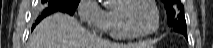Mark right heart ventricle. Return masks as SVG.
I'll return each instance as SVG.
<instances>
[{"mask_svg":"<svg viewBox=\"0 0 213 48\" xmlns=\"http://www.w3.org/2000/svg\"><path fill=\"white\" fill-rule=\"evenodd\" d=\"M108 22L106 27V32L115 39L120 40H129L133 39L134 37L129 35L121 26L119 22V18L116 12V7L110 9L108 12Z\"/></svg>","mask_w":213,"mask_h":48,"instance_id":"1","label":"right heart ventricle"}]
</instances>
